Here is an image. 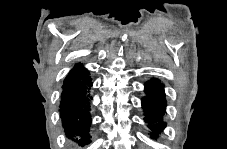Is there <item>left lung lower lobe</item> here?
<instances>
[{"label": "left lung lower lobe", "instance_id": "left-lung-lower-lobe-1", "mask_svg": "<svg viewBox=\"0 0 227 149\" xmlns=\"http://www.w3.org/2000/svg\"><path fill=\"white\" fill-rule=\"evenodd\" d=\"M146 96L142 99L145 112V122L155 134L160 133L166 126L162 117L166 111L164 86L158 79H151L145 83ZM152 136H154L152 134Z\"/></svg>", "mask_w": 227, "mask_h": 149}]
</instances>
